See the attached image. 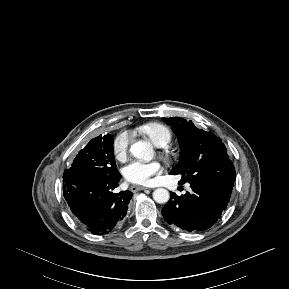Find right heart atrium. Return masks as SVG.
Instances as JSON below:
<instances>
[{
    "label": "right heart atrium",
    "instance_id": "1",
    "mask_svg": "<svg viewBox=\"0 0 289 289\" xmlns=\"http://www.w3.org/2000/svg\"><path fill=\"white\" fill-rule=\"evenodd\" d=\"M130 134L127 131L119 132L113 140L112 148L118 160H124L130 145Z\"/></svg>",
    "mask_w": 289,
    "mask_h": 289
}]
</instances>
